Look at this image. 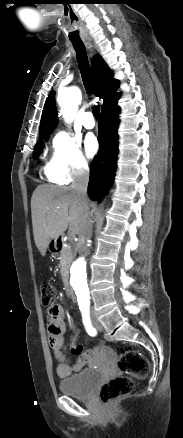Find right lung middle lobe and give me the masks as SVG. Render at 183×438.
<instances>
[{
  "mask_svg": "<svg viewBox=\"0 0 183 438\" xmlns=\"http://www.w3.org/2000/svg\"><path fill=\"white\" fill-rule=\"evenodd\" d=\"M48 135L49 134L43 135V136L39 137V142H37V144L34 147V152H33V158L34 159H36L38 157V155H39V153H40V151L42 149V146H43V140L47 139Z\"/></svg>",
  "mask_w": 183,
  "mask_h": 438,
  "instance_id": "obj_1",
  "label": "right lung middle lobe"
}]
</instances>
